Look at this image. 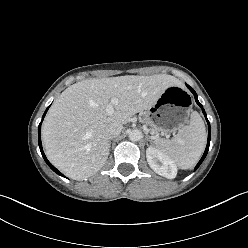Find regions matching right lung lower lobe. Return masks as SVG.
Listing matches in <instances>:
<instances>
[{
  "instance_id": "98d812e1",
  "label": "right lung lower lobe",
  "mask_w": 248,
  "mask_h": 248,
  "mask_svg": "<svg viewBox=\"0 0 248 248\" xmlns=\"http://www.w3.org/2000/svg\"><path fill=\"white\" fill-rule=\"evenodd\" d=\"M49 108V107H48ZM48 108L46 109V111H45V113H44V115H43V117H42V121H43V118H44V116H45V114H46V112L48 111ZM42 121H41V123H42ZM41 123L39 124V127H38V141H39V147H40V151H41V154H42V156H43V158H44V160H45V162L48 164V166L55 172V173H57L58 175H61V176H63V174H61L48 160H47V158H46V156H45V154H44V152H43V148H42V144H41Z\"/></svg>"
}]
</instances>
